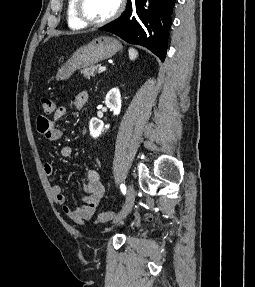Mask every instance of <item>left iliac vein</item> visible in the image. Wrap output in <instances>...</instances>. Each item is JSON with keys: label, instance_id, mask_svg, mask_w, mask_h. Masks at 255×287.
I'll return each instance as SVG.
<instances>
[{"label": "left iliac vein", "instance_id": "obj_1", "mask_svg": "<svg viewBox=\"0 0 255 287\" xmlns=\"http://www.w3.org/2000/svg\"><path fill=\"white\" fill-rule=\"evenodd\" d=\"M135 194H136L135 189L133 185L130 184L128 186V192H127L124 206L122 207V210L118 213V215L116 216L114 220L115 224L121 222L130 213L134 205Z\"/></svg>", "mask_w": 255, "mask_h": 287}]
</instances>
